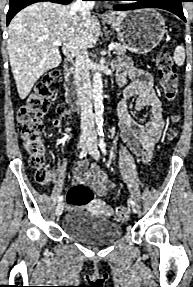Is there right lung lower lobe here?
<instances>
[{
    "mask_svg": "<svg viewBox=\"0 0 193 287\" xmlns=\"http://www.w3.org/2000/svg\"><path fill=\"white\" fill-rule=\"evenodd\" d=\"M42 1H50L54 3H60V4H69L73 0H10L9 3V11L7 13V25L11 21V19L23 8L26 6L36 3V2H42Z\"/></svg>",
    "mask_w": 193,
    "mask_h": 287,
    "instance_id": "1",
    "label": "right lung lower lobe"
}]
</instances>
